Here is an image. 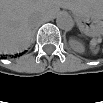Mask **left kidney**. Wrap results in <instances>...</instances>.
<instances>
[{"instance_id":"obj_1","label":"left kidney","mask_w":103,"mask_h":103,"mask_svg":"<svg viewBox=\"0 0 103 103\" xmlns=\"http://www.w3.org/2000/svg\"><path fill=\"white\" fill-rule=\"evenodd\" d=\"M70 46L77 52H83L84 51V46L82 45L81 42L71 39L70 40Z\"/></svg>"}]
</instances>
